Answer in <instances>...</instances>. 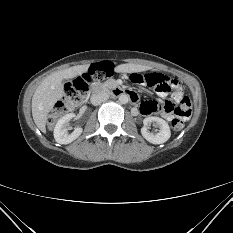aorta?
<instances>
[{
	"label": "aorta",
	"instance_id": "aorta-1",
	"mask_svg": "<svg viewBox=\"0 0 233 233\" xmlns=\"http://www.w3.org/2000/svg\"><path fill=\"white\" fill-rule=\"evenodd\" d=\"M128 101H129V95H127V94H121L119 96V102L121 104H126V103H128Z\"/></svg>",
	"mask_w": 233,
	"mask_h": 233
}]
</instances>
